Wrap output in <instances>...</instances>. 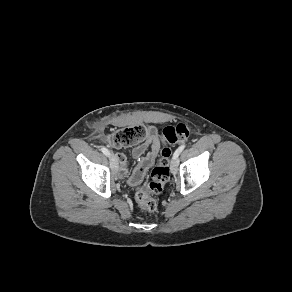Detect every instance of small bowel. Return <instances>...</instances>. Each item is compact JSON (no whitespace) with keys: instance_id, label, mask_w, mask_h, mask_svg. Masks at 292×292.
Segmentation results:
<instances>
[{"instance_id":"c3829d8e","label":"small bowel","mask_w":292,"mask_h":292,"mask_svg":"<svg viewBox=\"0 0 292 292\" xmlns=\"http://www.w3.org/2000/svg\"><path fill=\"white\" fill-rule=\"evenodd\" d=\"M160 146L161 143L156 129L154 127L148 128L146 138L132 149L131 155L138 162L131 174L128 171L129 162L126 155L123 153L115 155L121 177L128 178L134 185L140 183L147 171L154 165Z\"/></svg>"}]
</instances>
